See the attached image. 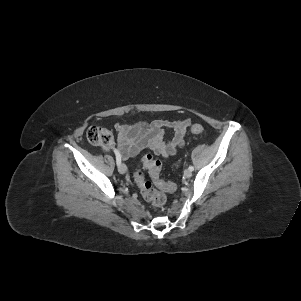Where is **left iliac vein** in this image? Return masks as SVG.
Listing matches in <instances>:
<instances>
[{"label":"left iliac vein","instance_id":"left-iliac-vein-1","mask_svg":"<svg viewBox=\"0 0 301 301\" xmlns=\"http://www.w3.org/2000/svg\"><path fill=\"white\" fill-rule=\"evenodd\" d=\"M184 176H185L186 178H190V177L192 176V171H190L189 169H186V170L184 171Z\"/></svg>","mask_w":301,"mask_h":301}]
</instances>
